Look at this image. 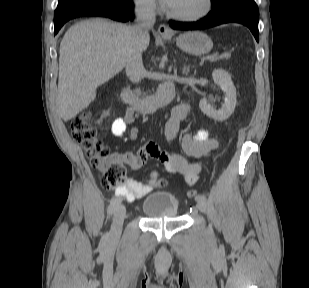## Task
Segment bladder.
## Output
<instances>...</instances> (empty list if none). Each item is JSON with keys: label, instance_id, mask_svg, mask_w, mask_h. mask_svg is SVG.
<instances>
[{"label": "bladder", "instance_id": "31cf9c89", "mask_svg": "<svg viewBox=\"0 0 309 288\" xmlns=\"http://www.w3.org/2000/svg\"><path fill=\"white\" fill-rule=\"evenodd\" d=\"M141 210L146 218H174L179 211V200L171 192L154 191L144 196Z\"/></svg>", "mask_w": 309, "mask_h": 288}]
</instances>
